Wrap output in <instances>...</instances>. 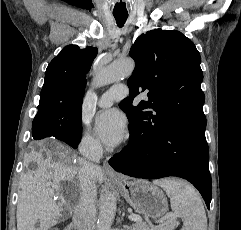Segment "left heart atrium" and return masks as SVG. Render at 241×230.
I'll return each mask as SVG.
<instances>
[{"mask_svg":"<svg viewBox=\"0 0 241 230\" xmlns=\"http://www.w3.org/2000/svg\"><path fill=\"white\" fill-rule=\"evenodd\" d=\"M126 119L116 109L100 112L94 123V132L107 146L115 147L122 142L126 135Z\"/></svg>","mask_w":241,"mask_h":230,"instance_id":"39dd6f15","label":"left heart atrium"}]
</instances>
